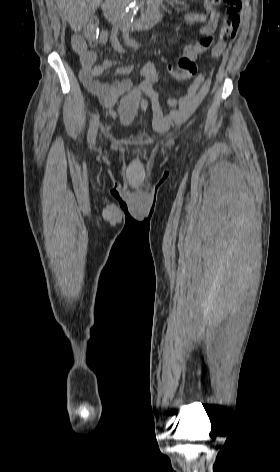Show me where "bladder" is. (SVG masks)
Returning <instances> with one entry per match:
<instances>
[{
  "label": "bladder",
  "instance_id": "obj_1",
  "mask_svg": "<svg viewBox=\"0 0 280 472\" xmlns=\"http://www.w3.org/2000/svg\"><path fill=\"white\" fill-rule=\"evenodd\" d=\"M142 104V95L138 90H133L125 95L119 103L117 114L118 121L124 126L133 123Z\"/></svg>",
  "mask_w": 280,
  "mask_h": 472
}]
</instances>
